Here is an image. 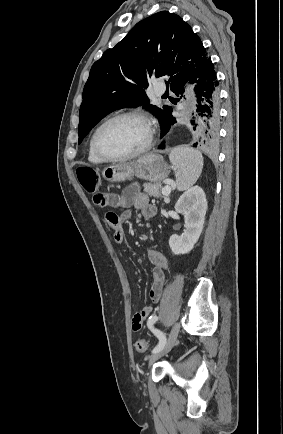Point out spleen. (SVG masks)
Listing matches in <instances>:
<instances>
[{
    "instance_id": "obj_1",
    "label": "spleen",
    "mask_w": 283,
    "mask_h": 434,
    "mask_svg": "<svg viewBox=\"0 0 283 434\" xmlns=\"http://www.w3.org/2000/svg\"><path fill=\"white\" fill-rule=\"evenodd\" d=\"M169 159L175 169L177 189L185 191L193 186L202 172V153L190 147H177L171 151Z\"/></svg>"
}]
</instances>
